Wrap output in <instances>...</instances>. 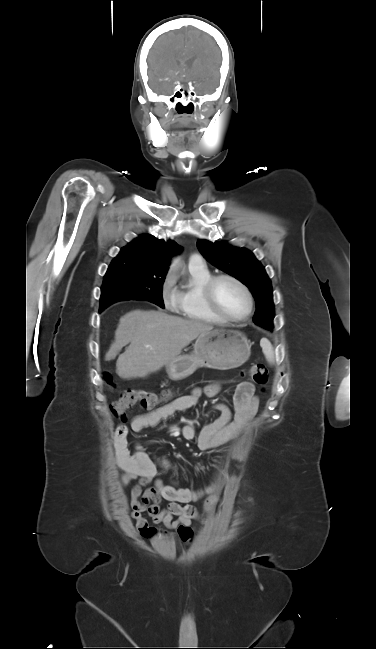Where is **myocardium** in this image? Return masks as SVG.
I'll return each mask as SVG.
<instances>
[{
    "instance_id": "1",
    "label": "myocardium",
    "mask_w": 376,
    "mask_h": 649,
    "mask_svg": "<svg viewBox=\"0 0 376 649\" xmlns=\"http://www.w3.org/2000/svg\"><path fill=\"white\" fill-rule=\"evenodd\" d=\"M222 280H230L234 282L236 285H238L241 290L244 292L247 302H248V310L246 314L242 317L239 318H234L229 316L221 307V305L218 302L217 296H216V287L218 283ZM204 297L205 300L208 304V306L218 315L220 316L223 320L227 322H233V323H238V322H244L252 314L253 307H254V300H253V295L251 293V290L249 287L238 277L228 274V273H223L219 275L212 276L205 284L204 286Z\"/></svg>"
}]
</instances>
